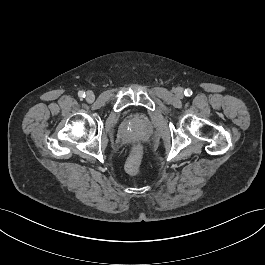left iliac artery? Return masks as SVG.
<instances>
[{"mask_svg":"<svg viewBox=\"0 0 265 265\" xmlns=\"http://www.w3.org/2000/svg\"><path fill=\"white\" fill-rule=\"evenodd\" d=\"M184 94L186 95V96H191L192 95V90L191 89H185V91H184Z\"/></svg>","mask_w":265,"mask_h":265,"instance_id":"left-iliac-artery-1","label":"left iliac artery"}]
</instances>
